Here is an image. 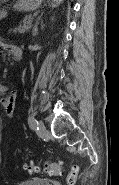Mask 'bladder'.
<instances>
[{"label": "bladder", "instance_id": "1", "mask_svg": "<svg viewBox=\"0 0 119 185\" xmlns=\"http://www.w3.org/2000/svg\"><path fill=\"white\" fill-rule=\"evenodd\" d=\"M17 185H51L48 181L42 179H26L19 182Z\"/></svg>", "mask_w": 119, "mask_h": 185}]
</instances>
